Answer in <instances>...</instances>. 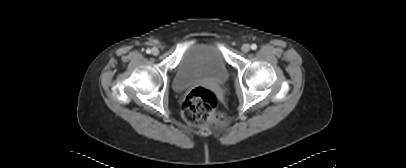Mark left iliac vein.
<instances>
[{
    "label": "left iliac vein",
    "instance_id": "left-iliac-vein-1",
    "mask_svg": "<svg viewBox=\"0 0 406 168\" xmlns=\"http://www.w3.org/2000/svg\"><path fill=\"white\" fill-rule=\"evenodd\" d=\"M242 52L248 53L250 51V45L249 44H243L241 47Z\"/></svg>",
    "mask_w": 406,
    "mask_h": 168
}]
</instances>
